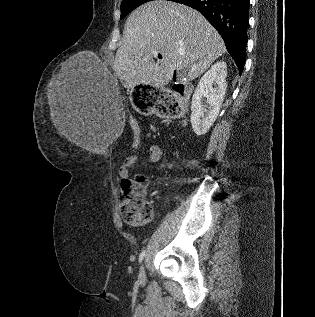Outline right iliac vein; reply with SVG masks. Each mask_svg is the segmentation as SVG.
Returning a JSON list of instances; mask_svg holds the SVG:
<instances>
[{"mask_svg": "<svg viewBox=\"0 0 315 317\" xmlns=\"http://www.w3.org/2000/svg\"><path fill=\"white\" fill-rule=\"evenodd\" d=\"M138 280H139L140 283H144L145 280H146V273H145V268H144L143 265L140 267Z\"/></svg>", "mask_w": 315, "mask_h": 317, "instance_id": "1", "label": "right iliac vein"}]
</instances>
